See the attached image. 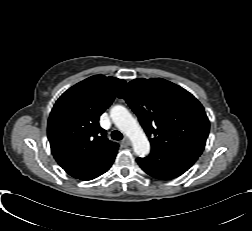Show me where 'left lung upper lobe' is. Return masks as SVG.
I'll list each match as a JSON object with an SVG mask.
<instances>
[{
    "mask_svg": "<svg viewBox=\"0 0 252 231\" xmlns=\"http://www.w3.org/2000/svg\"><path fill=\"white\" fill-rule=\"evenodd\" d=\"M138 116L152 149L201 155L209 120L201 103L182 87L161 78L135 79L120 92Z\"/></svg>",
    "mask_w": 252,
    "mask_h": 231,
    "instance_id": "1",
    "label": "left lung upper lobe"
}]
</instances>
